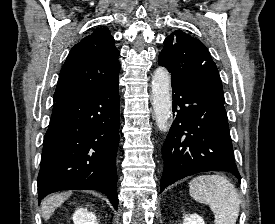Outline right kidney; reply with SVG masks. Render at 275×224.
<instances>
[{"instance_id": "right-kidney-1", "label": "right kidney", "mask_w": 275, "mask_h": 224, "mask_svg": "<svg viewBox=\"0 0 275 224\" xmlns=\"http://www.w3.org/2000/svg\"><path fill=\"white\" fill-rule=\"evenodd\" d=\"M74 224H98L96 215L87 208H79L73 214Z\"/></svg>"}]
</instances>
